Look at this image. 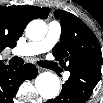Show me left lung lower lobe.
<instances>
[{
	"label": "left lung lower lobe",
	"mask_w": 103,
	"mask_h": 103,
	"mask_svg": "<svg viewBox=\"0 0 103 103\" xmlns=\"http://www.w3.org/2000/svg\"><path fill=\"white\" fill-rule=\"evenodd\" d=\"M68 81L55 99L46 103H84L101 78V66H81L70 71Z\"/></svg>",
	"instance_id": "0a47b994"
}]
</instances>
